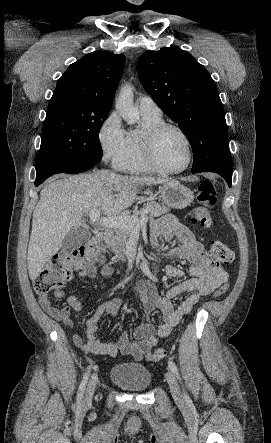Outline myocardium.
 Masks as SVG:
<instances>
[{
	"mask_svg": "<svg viewBox=\"0 0 271 443\" xmlns=\"http://www.w3.org/2000/svg\"><path fill=\"white\" fill-rule=\"evenodd\" d=\"M168 129L177 131L185 140L188 148V159L186 163L179 168H168L164 166L157 155L158 139L163 132ZM143 149L146 161L156 171L166 174H176L185 171L190 167L194 158V148L188 134L178 125L168 122H160L151 126L144 134Z\"/></svg>",
	"mask_w": 271,
	"mask_h": 443,
	"instance_id": "myocardium-1",
	"label": "myocardium"
}]
</instances>
